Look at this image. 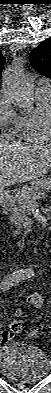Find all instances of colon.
<instances>
[{
    "label": "colon",
    "mask_w": 51,
    "mask_h": 393,
    "mask_svg": "<svg viewBox=\"0 0 51 393\" xmlns=\"http://www.w3.org/2000/svg\"><path fill=\"white\" fill-rule=\"evenodd\" d=\"M9 327L12 332L19 331L22 327V320L20 318H13L9 323Z\"/></svg>",
    "instance_id": "colon-1"
}]
</instances>
